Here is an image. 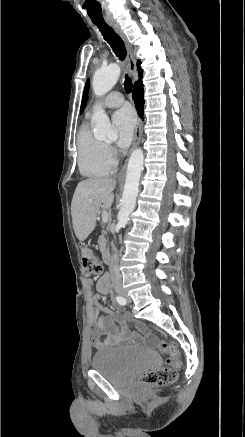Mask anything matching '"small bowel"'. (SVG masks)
<instances>
[{"label":"small bowel","instance_id":"c3829d8e","mask_svg":"<svg viewBox=\"0 0 245 437\" xmlns=\"http://www.w3.org/2000/svg\"><path fill=\"white\" fill-rule=\"evenodd\" d=\"M85 284L91 286L92 280L85 279ZM96 289L99 294L108 293L109 281L106 282L105 277L102 276L97 281ZM130 320L129 314H122L102 305L93 307L89 315L92 346L96 350H103L110 347L134 346L142 342L152 344L154 339L145 328H141L144 337L131 332L128 327Z\"/></svg>","mask_w":245,"mask_h":437}]
</instances>
